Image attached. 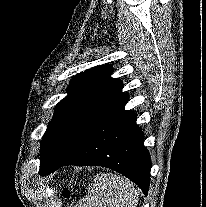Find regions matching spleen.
Masks as SVG:
<instances>
[{"label": "spleen", "instance_id": "obj_1", "mask_svg": "<svg viewBox=\"0 0 206 207\" xmlns=\"http://www.w3.org/2000/svg\"><path fill=\"white\" fill-rule=\"evenodd\" d=\"M139 192L122 176L101 173L89 184L88 194L76 207H136Z\"/></svg>", "mask_w": 206, "mask_h": 207}]
</instances>
